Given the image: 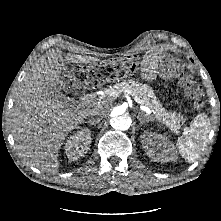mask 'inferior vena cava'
<instances>
[{"instance_id": "inferior-vena-cava-1", "label": "inferior vena cava", "mask_w": 221, "mask_h": 221, "mask_svg": "<svg viewBox=\"0 0 221 221\" xmlns=\"http://www.w3.org/2000/svg\"><path fill=\"white\" fill-rule=\"evenodd\" d=\"M104 116V110L99 107H95L91 110L89 114V121L88 123L94 124V123H99Z\"/></svg>"}]
</instances>
